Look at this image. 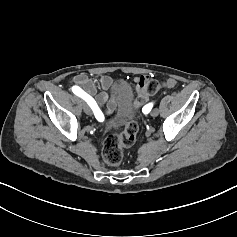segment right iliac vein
<instances>
[{
  "instance_id": "63e3f726",
  "label": "right iliac vein",
  "mask_w": 237,
  "mask_h": 237,
  "mask_svg": "<svg viewBox=\"0 0 237 237\" xmlns=\"http://www.w3.org/2000/svg\"><path fill=\"white\" fill-rule=\"evenodd\" d=\"M83 110H84V112H85L87 115H91V114H92L91 108H90L89 105L86 104V103H83Z\"/></svg>"
}]
</instances>
